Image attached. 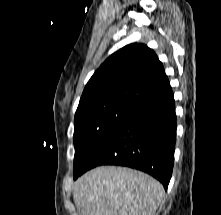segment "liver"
<instances>
[{
	"label": "liver",
	"mask_w": 221,
	"mask_h": 215,
	"mask_svg": "<svg viewBox=\"0 0 221 215\" xmlns=\"http://www.w3.org/2000/svg\"><path fill=\"white\" fill-rule=\"evenodd\" d=\"M164 194L162 184L143 172L101 166L76 181L73 199L80 215H155Z\"/></svg>",
	"instance_id": "liver-1"
}]
</instances>
